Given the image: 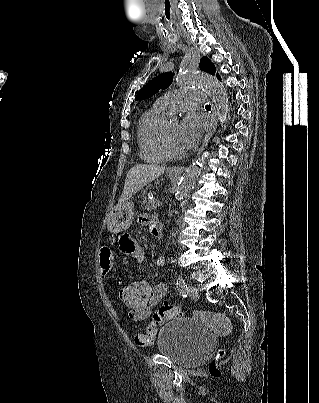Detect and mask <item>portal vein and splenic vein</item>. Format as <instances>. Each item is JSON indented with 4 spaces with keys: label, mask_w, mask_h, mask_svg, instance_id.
I'll return each mask as SVG.
<instances>
[{
    "label": "portal vein and splenic vein",
    "mask_w": 319,
    "mask_h": 403,
    "mask_svg": "<svg viewBox=\"0 0 319 403\" xmlns=\"http://www.w3.org/2000/svg\"><path fill=\"white\" fill-rule=\"evenodd\" d=\"M156 206H158V207L162 206V202L158 201V202L156 203Z\"/></svg>",
    "instance_id": "obj_1"
}]
</instances>
